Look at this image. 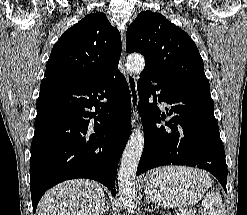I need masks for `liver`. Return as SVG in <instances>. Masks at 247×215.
<instances>
[{
  "mask_svg": "<svg viewBox=\"0 0 247 215\" xmlns=\"http://www.w3.org/2000/svg\"><path fill=\"white\" fill-rule=\"evenodd\" d=\"M106 197L100 184L70 180L50 189L40 200L37 215H102Z\"/></svg>",
  "mask_w": 247,
  "mask_h": 215,
  "instance_id": "obj_1",
  "label": "liver"
}]
</instances>
